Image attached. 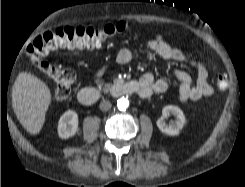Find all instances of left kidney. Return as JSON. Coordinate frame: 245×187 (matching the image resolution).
<instances>
[{"label": "left kidney", "mask_w": 245, "mask_h": 187, "mask_svg": "<svg viewBox=\"0 0 245 187\" xmlns=\"http://www.w3.org/2000/svg\"><path fill=\"white\" fill-rule=\"evenodd\" d=\"M170 114L174 115L176 117V120L175 122L166 124L164 118H166ZM185 121V115L179 107L167 105L162 109V117L157 120V126L162 133L169 136H177L183 129Z\"/></svg>", "instance_id": "5707ae66"}]
</instances>
